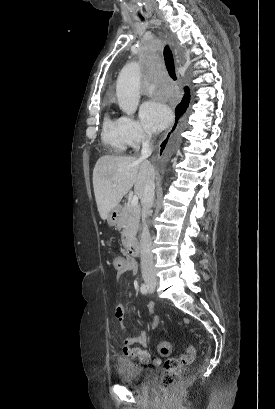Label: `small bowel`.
<instances>
[{"instance_id": "obj_1", "label": "small bowel", "mask_w": 275, "mask_h": 409, "mask_svg": "<svg viewBox=\"0 0 275 409\" xmlns=\"http://www.w3.org/2000/svg\"><path fill=\"white\" fill-rule=\"evenodd\" d=\"M122 273L127 274L128 272L136 274L138 272V264L136 261L128 260L123 258ZM146 310L149 314L154 313V304L152 302H147ZM114 315L118 321H122L125 316V308L122 303H118L114 309ZM120 324V323H119ZM159 324V317L154 315L151 317L148 328L154 330ZM125 346L123 348V353L126 355L128 360H138L140 359L144 363H150L151 365L158 366L161 364V360L158 358H151L150 355L142 350L141 347L145 346L147 343V334L145 331L138 333L136 337H126L124 340ZM136 345V346H134ZM134 346V347H132Z\"/></svg>"}]
</instances>
